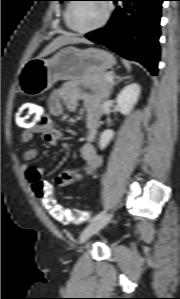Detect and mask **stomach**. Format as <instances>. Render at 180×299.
<instances>
[{
    "mask_svg": "<svg viewBox=\"0 0 180 299\" xmlns=\"http://www.w3.org/2000/svg\"><path fill=\"white\" fill-rule=\"evenodd\" d=\"M113 55L97 48L65 47L49 59L28 60L18 74L21 93L41 95L59 80H77L93 73H105L115 65Z\"/></svg>",
    "mask_w": 180,
    "mask_h": 299,
    "instance_id": "1",
    "label": "stomach"
}]
</instances>
